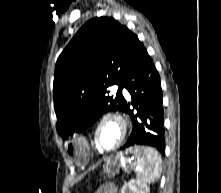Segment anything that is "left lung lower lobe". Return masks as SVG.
I'll use <instances>...</instances> for the list:
<instances>
[{
    "instance_id": "1",
    "label": "left lung lower lobe",
    "mask_w": 221,
    "mask_h": 193,
    "mask_svg": "<svg viewBox=\"0 0 221 193\" xmlns=\"http://www.w3.org/2000/svg\"><path fill=\"white\" fill-rule=\"evenodd\" d=\"M126 88L134 102L136 114L126 102L124 112L129 113L133 123L132 133L122 149L135 145H148L160 149L165 155L164 117L160 76L146 48L141 43L125 71L121 88ZM155 109L154 119L147 117ZM162 146V147H161Z\"/></svg>"
}]
</instances>
